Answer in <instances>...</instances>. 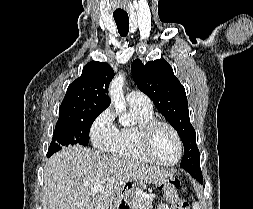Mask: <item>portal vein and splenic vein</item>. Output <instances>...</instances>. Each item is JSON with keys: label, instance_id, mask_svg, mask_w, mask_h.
I'll use <instances>...</instances> for the list:
<instances>
[{"label": "portal vein and splenic vein", "instance_id": "1", "mask_svg": "<svg viewBox=\"0 0 253 209\" xmlns=\"http://www.w3.org/2000/svg\"><path fill=\"white\" fill-rule=\"evenodd\" d=\"M103 191V186L102 184L98 183L96 184L93 188H92V192L93 193H98V192H101Z\"/></svg>", "mask_w": 253, "mask_h": 209}]
</instances>
